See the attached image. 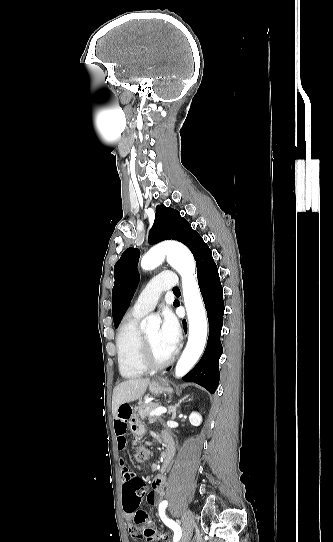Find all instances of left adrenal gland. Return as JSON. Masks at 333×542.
Returning <instances> with one entry per match:
<instances>
[{"label": "left adrenal gland", "instance_id": "a2214340", "mask_svg": "<svg viewBox=\"0 0 333 542\" xmlns=\"http://www.w3.org/2000/svg\"><path fill=\"white\" fill-rule=\"evenodd\" d=\"M186 398H188V396H185V398H182V400H179L178 404H175V406H169L168 408V412H171L172 416V420H175L177 414H176V408H178V406H180L181 402H184V400H186Z\"/></svg>", "mask_w": 333, "mask_h": 542}]
</instances>
